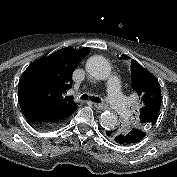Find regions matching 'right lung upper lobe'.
<instances>
[{"label":"right lung upper lobe","mask_w":177,"mask_h":177,"mask_svg":"<svg viewBox=\"0 0 177 177\" xmlns=\"http://www.w3.org/2000/svg\"><path fill=\"white\" fill-rule=\"evenodd\" d=\"M89 50L60 49L28 66L19 81L18 98L22 109L45 112L66 118L76 109L72 97V74Z\"/></svg>","instance_id":"1"}]
</instances>
